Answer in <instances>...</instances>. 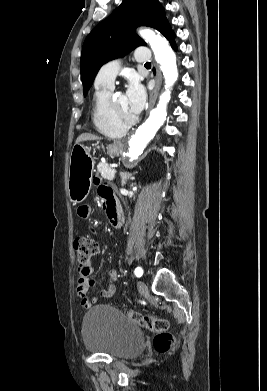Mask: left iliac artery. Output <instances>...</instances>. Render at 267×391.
I'll return each mask as SVG.
<instances>
[{"mask_svg":"<svg viewBox=\"0 0 267 391\" xmlns=\"http://www.w3.org/2000/svg\"><path fill=\"white\" fill-rule=\"evenodd\" d=\"M142 274H143L142 268H141V267H137V268L135 269V275H136L137 277H141Z\"/></svg>","mask_w":267,"mask_h":391,"instance_id":"left-iliac-artery-1","label":"left iliac artery"}]
</instances>
